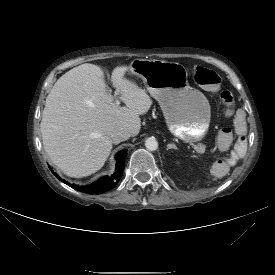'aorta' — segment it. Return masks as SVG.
<instances>
[{"mask_svg": "<svg viewBox=\"0 0 275 275\" xmlns=\"http://www.w3.org/2000/svg\"><path fill=\"white\" fill-rule=\"evenodd\" d=\"M145 147L149 151H155L158 148V142L154 138H148L145 141Z\"/></svg>", "mask_w": 275, "mask_h": 275, "instance_id": "obj_1", "label": "aorta"}]
</instances>
